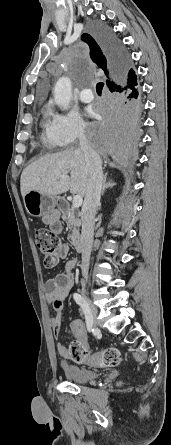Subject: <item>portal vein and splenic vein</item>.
<instances>
[{
  "label": "portal vein and splenic vein",
  "mask_w": 171,
  "mask_h": 445,
  "mask_svg": "<svg viewBox=\"0 0 171 445\" xmlns=\"http://www.w3.org/2000/svg\"><path fill=\"white\" fill-rule=\"evenodd\" d=\"M60 177L63 178L64 176L61 175ZM82 202H83L82 196L75 195L73 197L72 205H73L74 208H78V207H80L82 205Z\"/></svg>",
  "instance_id": "portal-vein-and-splenic-vein-1"
}]
</instances>
